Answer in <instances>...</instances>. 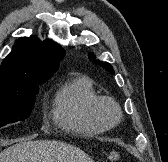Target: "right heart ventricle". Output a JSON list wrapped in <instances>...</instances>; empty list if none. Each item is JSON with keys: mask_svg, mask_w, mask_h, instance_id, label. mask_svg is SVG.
I'll return each instance as SVG.
<instances>
[{"mask_svg": "<svg viewBox=\"0 0 168 162\" xmlns=\"http://www.w3.org/2000/svg\"><path fill=\"white\" fill-rule=\"evenodd\" d=\"M98 97L94 83L89 77L69 76L55 95V121L66 130L86 136L106 131L108 127L94 112Z\"/></svg>", "mask_w": 168, "mask_h": 162, "instance_id": "right-heart-ventricle-1", "label": "right heart ventricle"}]
</instances>
